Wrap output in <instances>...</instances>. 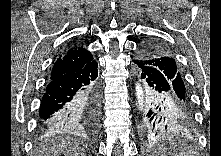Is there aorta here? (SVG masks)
I'll use <instances>...</instances> for the list:
<instances>
[{
    "label": "aorta",
    "instance_id": "762f6f07",
    "mask_svg": "<svg viewBox=\"0 0 221 156\" xmlns=\"http://www.w3.org/2000/svg\"><path fill=\"white\" fill-rule=\"evenodd\" d=\"M141 93H142V89H141V87L138 85L137 88H136V94H137L138 98H140Z\"/></svg>",
    "mask_w": 221,
    "mask_h": 156
}]
</instances>
